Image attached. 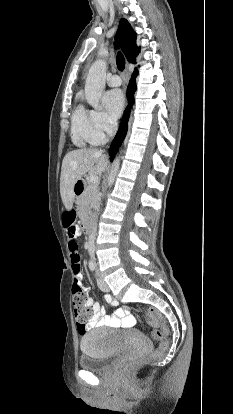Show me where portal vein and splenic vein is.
I'll use <instances>...</instances> for the list:
<instances>
[{"instance_id":"1","label":"portal vein and splenic vein","mask_w":233,"mask_h":414,"mask_svg":"<svg viewBox=\"0 0 233 414\" xmlns=\"http://www.w3.org/2000/svg\"><path fill=\"white\" fill-rule=\"evenodd\" d=\"M89 182L92 184L97 185L99 183V178L96 175H90L89 176Z\"/></svg>"}]
</instances>
